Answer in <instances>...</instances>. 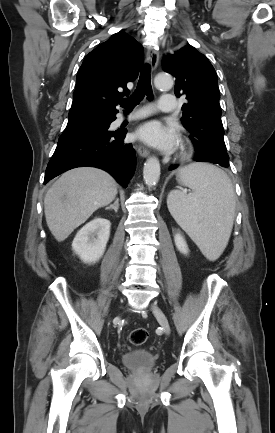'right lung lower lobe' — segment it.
Instances as JSON below:
<instances>
[{
    "label": "right lung lower lobe",
    "instance_id": "right-lung-lower-lobe-1",
    "mask_svg": "<svg viewBox=\"0 0 275 433\" xmlns=\"http://www.w3.org/2000/svg\"><path fill=\"white\" fill-rule=\"evenodd\" d=\"M115 118L111 116L110 123ZM126 133V130L110 132L108 127L64 131L48 163L44 184L72 168L91 166L109 172L127 187L135 170L136 156L132 145L123 142Z\"/></svg>",
    "mask_w": 275,
    "mask_h": 433
}]
</instances>
